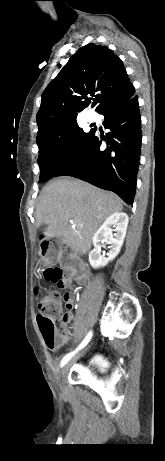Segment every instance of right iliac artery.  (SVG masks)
Masks as SVG:
<instances>
[{
	"label": "right iliac artery",
	"mask_w": 165,
	"mask_h": 461,
	"mask_svg": "<svg viewBox=\"0 0 165 461\" xmlns=\"http://www.w3.org/2000/svg\"><path fill=\"white\" fill-rule=\"evenodd\" d=\"M91 336H92V333L90 332V333L87 335V337L84 339V341L82 342V344L79 346V348H78L76 351H78V350H80L81 348H83V347L89 342ZM74 353H75V352H72V353L67 354V355L63 358L61 364H62V365L66 364V363L70 360L71 356H73Z\"/></svg>",
	"instance_id": "82829eb1"
}]
</instances>
